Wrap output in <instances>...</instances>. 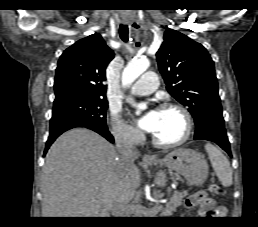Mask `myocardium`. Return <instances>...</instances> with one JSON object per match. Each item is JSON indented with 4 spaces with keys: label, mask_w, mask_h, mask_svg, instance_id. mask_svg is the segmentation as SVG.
Here are the masks:
<instances>
[{
    "label": "myocardium",
    "mask_w": 258,
    "mask_h": 227,
    "mask_svg": "<svg viewBox=\"0 0 258 227\" xmlns=\"http://www.w3.org/2000/svg\"><path fill=\"white\" fill-rule=\"evenodd\" d=\"M158 109L159 110L173 109V110H177L179 113H181V115L184 118V122H185V131H184V134L178 140H175L172 142L161 141L152 134L151 135L152 143L156 147L165 148V149L178 147V146L184 144L190 138V136L192 134V130H193V120H192V116H191L190 112L184 106H182L180 104H176V103H171V102H165V103L161 104L158 107Z\"/></svg>",
    "instance_id": "obj_1"
}]
</instances>
